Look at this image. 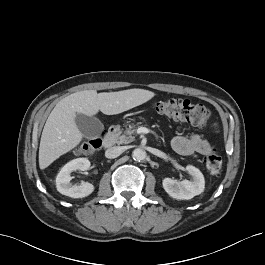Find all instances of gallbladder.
<instances>
[{"label": "gallbladder", "mask_w": 265, "mask_h": 265, "mask_svg": "<svg viewBox=\"0 0 265 265\" xmlns=\"http://www.w3.org/2000/svg\"><path fill=\"white\" fill-rule=\"evenodd\" d=\"M75 123L85 138L99 136L104 129L102 122L94 116H87L77 113L75 117Z\"/></svg>", "instance_id": "bac80fb5"}]
</instances>
